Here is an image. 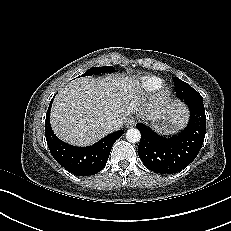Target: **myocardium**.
<instances>
[{"label": "myocardium", "mask_w": 231, "mask_h": 231, "mask_svg": "<svg viewBox=\"0 0 231 231\" xmlns=\"http://www.w3.org/2000/svg\"><path fill=\"white\" fill-rule=\"evenodd\" d=\"M172 99V90L168 86H162L153 98V105L161 108L166 106Z\"/></svg>", "instance_id": "f54148a6"}]
</instances>
